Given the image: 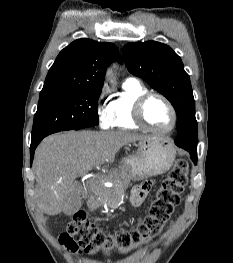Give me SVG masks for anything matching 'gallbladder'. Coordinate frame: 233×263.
<instances>
[{
	"instance_id": "1",
	"label": "gallbladder",
	"mask_w": 233,
	"mask_h": 263,
	"mask_svg": "<svg viewBox=\"0 0 233 263\" xmlns=\"http://www.w3.org/2000/svg\"><path fill=\"white\" fill-rule=\"evenodd\" d=\"M75 187H76V192H79V186L76 185ZM81 206H82V201L80 196L77 194L70 199V202L68 203L67 207L63 210V213L66 216H72L80 210Z\"/></svg>"
}]
</instances>
